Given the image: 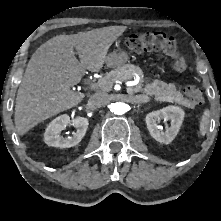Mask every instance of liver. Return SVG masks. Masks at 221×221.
Returning a JSON list of instances; mask_svg holds the SVG:
<instances>
[{"instance_id":"1","label":"liver","mask_w":221,"mask_h":221,"mask_svg":"<svg viewBox=\"0 0 221 221\" xmlns=\"http://www.w3.org/2000/svg\"><path fill=\"white\" fill-rule=\"evenodd\" d=\"M124 29L109 26L59 35L42 44L30 59L17 92V133L24 135L38 123L78 105L85 94L74 92L71 87L81 81L86 70L102 69L110 46Z\"/></svg>"}]
</instances>
